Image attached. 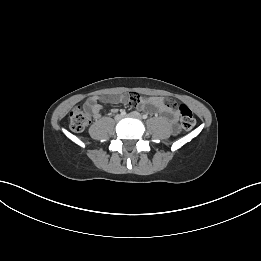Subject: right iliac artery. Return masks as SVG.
Segmentation results:
<instances>
[{
	"label": "right iliac artery",
	"mask_w": 261,
	"mask_h": 261,
	"mask_svg": "<svg viewBox=\"0 0 261 261\" xmlns=\"http://www.w3.org/2000/svg\"><path fill=\"white\" fill-rule=\"evenodd\" d=\"M121 115H122V116H125V115H126L125 110H121Z\"/></svg>",
	"instance_id": "82829eb1"
}]
</instances>
